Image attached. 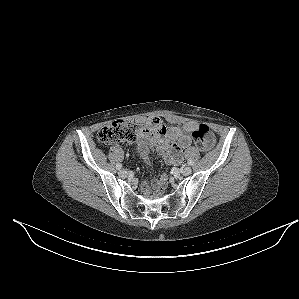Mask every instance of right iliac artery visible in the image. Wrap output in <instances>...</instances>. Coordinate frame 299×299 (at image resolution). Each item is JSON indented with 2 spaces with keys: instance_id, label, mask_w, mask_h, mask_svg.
Wrapping results in <instances>:
<instances>
[{
  "instance_id": "right-iliac-artery-1",
  "label": "right iliac artery",
  "mask_w": 299,
  "mask_h": 299,
  "mask_svg": "<svg viewBox=\"0 0 299 299\" xmlns=\"http://www.w3.org/2000/svg\"><path fill=\"white\" fill-rule=\"evenodd\" d=\"M116 168H117L118 170H120V169L122 168V165H121V164H117V165H116Z\"/></svg>"
}]
</instances>
